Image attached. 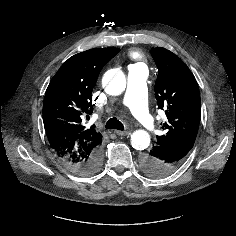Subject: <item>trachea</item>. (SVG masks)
<instances>
[{
    "label": "trachea",
    "instance_id": "trachea-1",
    "mask_svg": "<svg viewBox=\"0 0 236 236\" xmlns=\"http://www.w3.org/2000/svg\"><path fill=\"white\" fill-rule=\"evenodd\" d=\"M105 128L106 129H117V130L123 131L124 125L116 117H113L107 121Z\"/></svg>",
    "mask_w": 236,
    "mask_h": 236
}]
</instances>
